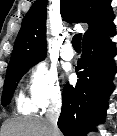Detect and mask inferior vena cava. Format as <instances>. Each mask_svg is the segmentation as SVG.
<instances>
[{"label":"inferior vena cava","mask_w":117,"mask_h":136,"mask_svg":"<svg viewBox=\"0 0 117 136\" xmlns=\"http://www.w3.org/2000/svg\"><path fill=\"white\" fill-rule=\"evenodd\" d=\"M60 111H61V102L59 100L52 102L47 110L46 118L52 133L51 136H57V132L59 131L57 126V121L60 115Z\"/></svg>","instance_id":"602c4592"}]
</instances>
